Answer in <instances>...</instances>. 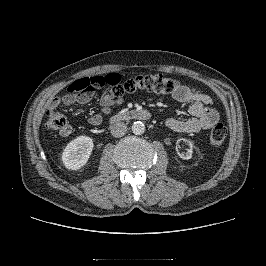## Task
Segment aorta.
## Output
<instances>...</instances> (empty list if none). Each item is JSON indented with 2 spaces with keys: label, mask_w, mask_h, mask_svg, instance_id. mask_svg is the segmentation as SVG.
<instances>
[{
  "label": "aorta",
  "mask_w": 266,
  "mask_h": 266,
  "mask_svg": "<svg viewBox=\"0 0 266 266\" xmlns=\"http://www.w3.org/2000/svg\"><path fill=\"white\" fill-rule=\"evenodd\" d=\"M132 132L135 135H142L145 132V125L141 121H136L132 125Z\"/></svg>",
  "instance_id": "762f6f07"
}]
</instances>
